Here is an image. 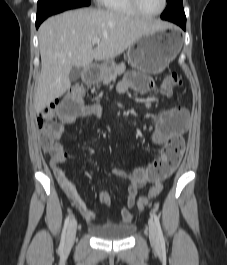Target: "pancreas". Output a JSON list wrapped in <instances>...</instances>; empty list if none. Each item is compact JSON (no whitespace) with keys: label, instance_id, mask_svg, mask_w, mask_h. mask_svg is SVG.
Returning a JSON list of instances; mask_svg holds the SVG:
<instances>
[{"label":"pancreas","instance_id":"1","mask_svg":"<svg viewBox=\"0 0 227 265\" xmlns=\"http://www.w3.org/2000/svg\"><path fill=\"white\" fill-rule=\"evenodd\" d=\"M126 66L124 63H120L119 65L111 68L107 74L103 77L102 81L104 84L109 83L114 80L118 75H121L125 72Z\"/></svg>","mask_w":227,"mask_h":265}]
</instances>
